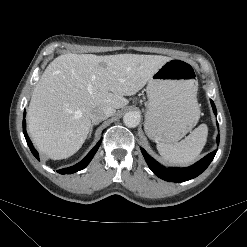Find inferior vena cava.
I'll list each match as a JSON object with an SVG mask.
<instances>
[{
    "label": "inferior vena cava",
    "mask_w": 247,
    "mask_h": 247,
    "mask_svg": "<svg viewBox=\"0 0 247 247\" xmlns=\"http://www.w3.org/2000/svg\"><path fill=\"white\" fill-rule=\"evenodd\" d=\"M116 110L110 106L95 108L90 113V118L93 123H98L104 119L114 115Z\"/></svg>",
    "instance_id": "602c4592"
}]
</instances>
